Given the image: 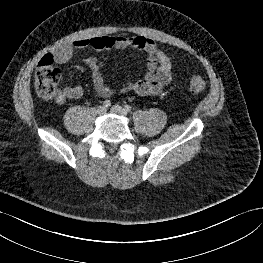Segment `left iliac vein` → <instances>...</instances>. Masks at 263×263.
<instances>
[{
	"label": "left iliac vein",
	"instance_id": "left-iliac-vein-1",
	"mask_svg": "<svg viewBox=\"0 0 263 263\" xmlns=\"http://www.w3.org/2000/svg\"><path fill=\"white\" fill-rule=\"evenodd\" d=\"M111 112L114 113V114L121 115V116H126L127 115V112L124 110V108H122L119 105L112 106L111 107Z\"/></svg>",
	"mask_w": 263,
	"mask_h": 263
}]
</instances>
